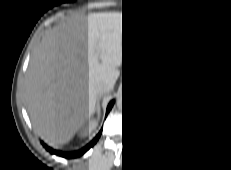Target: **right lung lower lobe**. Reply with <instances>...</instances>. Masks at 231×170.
Listing matches in <instances>:
<instances>
[{
    "instance_id": "1",
    "label": "right lung lower lobe",
    "mask_w": 231,
    "mask_h": 170,
    "mask_svg": "<svg viewBox=\"0 0 231 170\" xmlns=\"http://www.w3.org/2000/svg\"><path fill=\"white\" fill-rule=\"evenodd\" d=\"M112 106H113V101L109 104V106L107 108V113L111 109ZM99 137H100V133L89 144H87L84 148H82L81 150L75 151V152L65 153V152H60L58 150H53L51 148H48V150L51 153L60 155L61 157H64V158H76V157L83 155L86 151H88L97 142Z\"/></svg>"
}]
</instances>
